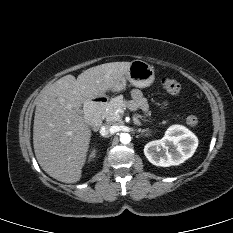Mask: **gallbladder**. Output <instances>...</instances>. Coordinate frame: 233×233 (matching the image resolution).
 Listing matches in <instances>:
<instances>
[{
  "label": "gallbladder",
  "instance_id": "bac80fb5",
  "mask_svg": "<svg viewBox=\"0 0 233 233\" xmlns=\"http://www.w3.org/2000/svg\"><path fill=\"white\" fill-rule=\"evenodd\" d=\"M79 115H82V111L81 110H78L77 111Z\"/></svg>",
  "mask_w": 233,
  "mask_h": 233
}]
</instances>
